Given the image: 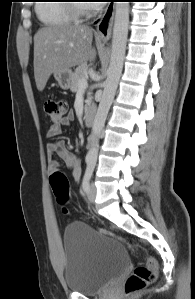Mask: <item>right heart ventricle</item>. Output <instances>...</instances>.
I'll use <instances>...</instances> for the list:
<instances>
[{"instance_id": "obj_1", "label": "right heart ventricle", "mask_w": 195, "mask_h": 299, "mask_svg": "<svg viewBox=\"0 0 195 299\" xmlns=\"http://www.w3.org/2000/svg\"><path fill=\"white\" fill-rule=\"evenodd\" d=\"M36 6V14L39 20L48 27H59L70 25L75 18L70 11V8L62 0L42 1Z\"/></svg>"}]
</instances>
